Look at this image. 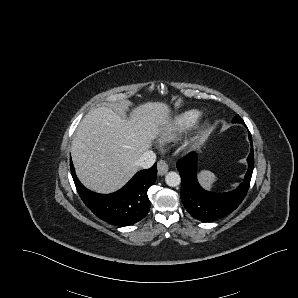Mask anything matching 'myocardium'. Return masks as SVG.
Segmentation results:
<instances>
[{
  "label": "myocardium",
  "mask_w": 298,
  "mask_h": 298,
  "mask_svg": "<svg viewBox=\"0 0 298 298\" xmlns=\"http://www.w3.org/2000/svg\"><path fill=\"white\" fill-rule=\"evenodd\" d=\"M213 130L212 122L209 118H200L195 124L192 133L182 141V148L192 150L196 148Z\"/></svg>",
  "instance_id": "1"
}]
</instances>
